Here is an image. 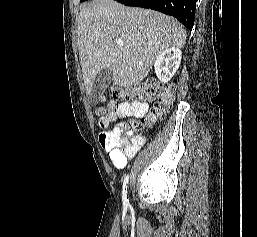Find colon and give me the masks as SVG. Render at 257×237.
Here are the masks:
<instances>
[{
  "mask_svg": "<svg viewBox=\"0 0 257 237\" xmlns=\"http://www.w3.org/2000/svg\"><path fill=\"white\" fill-rule=\"evenodd\" d=\"M119 97L123 100H146L154 104L149 116L142 120L132 119L119 127L117 132L107 131L109 123V109L114 104H110L108 110L99 108V126L101 128L100 140L103 146L114 147L125 142V132L127 130L140 131L145 126L153 124L157 118L168 108L173 97V88L170 85H160L157 83H147L144 85L130 87L120 90Z\"/></svg>",
  "mask_w": 257,
  "mask_h": 237,
  "instance_id": "1",
  "label": "colon"
}]
</instances>
